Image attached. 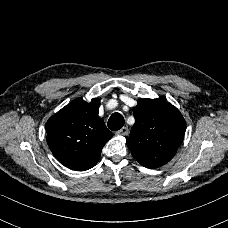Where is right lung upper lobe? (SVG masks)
I'll list each match as a JSON object with an SVG mask.
<instances>
[{
    "instance_id": "1",
    "label": "right lung upper lobe",
    "mask_w": 228,
    "mask_h": 228,
    "mask_svg": "<svg viewBox=\"0 0 228 228\" xmlns=\"http://www.w3.org/2000/svg\"><path fill=\"white\" fill-rule=\"evenodd\" d=\"M100 100L77 98L49 118L46 140L65 167L85 171L96 165L104 145L112 138L98 116Z\"/></svg>"
}]
</instances>
